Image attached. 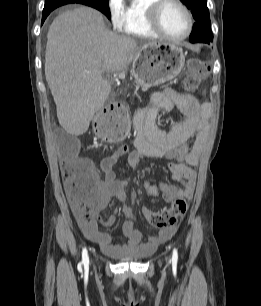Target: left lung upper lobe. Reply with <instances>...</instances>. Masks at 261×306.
<instances>
[{
    "instance_id": "obj_1",
    "label": "left lung upper lobe",
    "mask_w": 261,
    "mask_h": 306,
    "mask_svg": "<svg viewBox=\"0 0 261 306\" xmlns=\"http://www.w3.org/2000/svg\"><path fill=\"white\" fill-rule=\"evenodd\" d=\"M183 2L195 19L192 33L189 37V41L192 43L203 42L210 43L213 41V35L211 32V22L209 17V10L206 0H180Z\"/></svg>"
}]
</instances>
